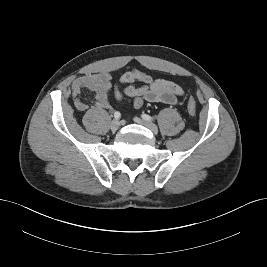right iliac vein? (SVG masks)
I'll return each mask as SVG.
<instances>
[{
	"label": "right iliac vein",
	"instance_id": "63e3f726",
	"mask_svg": "<svg viewBox=\"0 0 267 267\" xmlns=\"http://www.w3.org/2000/svg\"><path fill=\"white\" fill-rule=\"evenodd\" d=\"M119 127H120V122H119V120H117V119L113 120V121L111 122V124H110V129H111L112 131H117V130L119 129Z\"/></svg>",
	"mask_w": 267,
	"mask_h": 267
}]
</instances>
